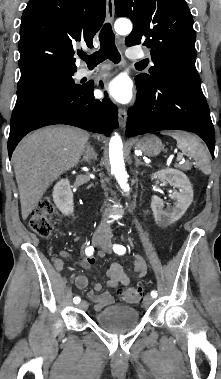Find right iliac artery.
Listing matches in <instances>:
<instances>
[{
	"mask_svg": "<svg viewBox=\"0 0 221 379\" xmlns=\"http://www.w3.org/2000/svg\"><path fill=\"white\" fill-rule=\"evenodd\" d=\"M85 253H86L87 256H91L94 253V248L92 246L86 247ZM80 301H81V298L79 296H76V297L73 298V302L75 304L80 303Z\"/></svg>",
	"mask_w": 221,
	"mask_h": 379,
	"instance_id": "1",
	"label": "right iliac artery"
}]
</instances>
